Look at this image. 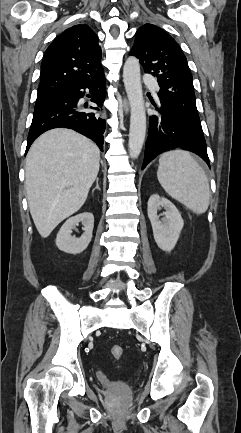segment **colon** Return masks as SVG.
<instances>
[{
    "label": "colon",
    "instance_id": "5ec220e1",
    "mask_svg": "<svg viewBox=\"0 0 241 433\" xmlns=\"http://www.w3.org/2000/svg\"><path fill=\"white\" fill-rule=\"evenodd\" d=\"M110 353L115 359H120L123 356L124 350L121 346L114 345L111 347Z\"/></svg>",
    "mask_w": 241,
    "mask_h": 433
}]
</instances>
